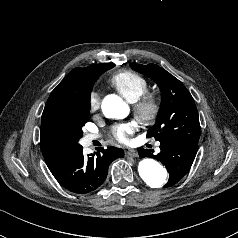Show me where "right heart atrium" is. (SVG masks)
<instances>
[{
  "label": "right heart atrium",
  "mask_w": 238,
  "mask_h": 238,
  "mask_svg": "<svg viewBox=\"0 0 238 238\" xmlns=\"http://www.w3.org/2000/svg\"><path fill=\"white\" fill-rule=\"evenodd\" d=\"M88 105L91 112L96 111L100 106V98L97 92H91L88 98Z\"/></svg>",
  "instance_id": "d8ad5b80"
}]
</instances>
